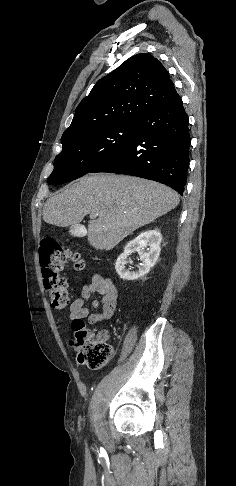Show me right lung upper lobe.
<instances>
[{
	"label": "right lung upper lobe",
	"instance_id": "right-lung-upper-lobe-1",
	"mask_svg": "<svg viewBox=\"0 0 236 486\" xmlns=\"http://www.w3.org/2000/svg\"><path fill=\"white\" fill-rule=\"evenodd\" d=\"M168 71L149 53L132 56L100 79L76 108L62 141L95 129L136 123L180 100Z\"/></svg>",
	"mask_w": 236,
	"mask_h": 486
}]
</instances>
